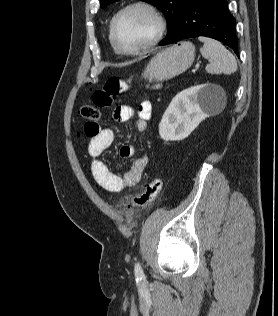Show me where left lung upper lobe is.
Masks as SVG:
<instances>
[{
    "label": "left lung upper lobe",
    "instance_id": "5c2ea615",
    "mask_svg": "<svg viewBox=\"0 0 278 316\" xmlns=\"http://www.w3.org/2000/svg\"><path fill=\"white\" fill-rule=\"evenodd\" d=\"M114 1H117V0H100L101 7L104 8L108 4ZM144 1L149 2L152 5L156 6L164 13L167 20V24H168L167 36H169L177 24L180 12L186 0H144Z\"/></svg>",
    "mask_w": 278,
    "mask_h": 316
}]
</instances>
